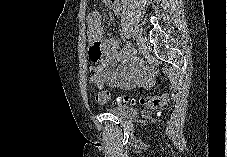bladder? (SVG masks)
<instances>
[{"instance_id":"1","label":"bladder","mask_w":227,"mask_h":157,"mask_svg":"<svg viewBox=\"0 0 227 157\" xmlns=\"http://www.w3.org/2000/svg\"><path fill=\"white\" fill-rule=\"evenodd\" d=\"M108 111L120 118H126V119L136 117L139 114L138 109L133 107H125V106L115 107Z\"/></svg>"}]
</instances>
